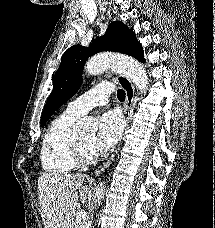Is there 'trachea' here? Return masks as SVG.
I'll return each instance as SVG.
<instances>
[{
    "instance_id": "trachea-1",
    "label": "trachea",
    "mask_w": 215,
    "mask_h": 228,
    "mask_svg": "<svg viewBox=\"0 0 215 228\" xmlns=\"http://www.w3.org/2000/svg\"><path fill=\"white\" fill-rule=\"evenodd\" d=\"M117 98H118L120 101H124V100H125V91L119 89V90L117 91Z\"/></svg>"
}]
</instances>
